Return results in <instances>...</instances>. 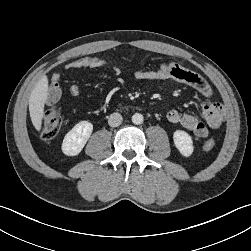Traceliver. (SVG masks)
<instances>
[{
	"mask_svg": "<svg viewBox=\"0 0 251 251\" xmlns=\"http://www.w3.org/2000/svg\"><path fill=\"white\" fill-rule=\"evenodd\" d=\"M48 94V78L44 75L35 85L29 98V112L33 126L37 131L41 130L44 117V105Z\"/></svg>",
	"mask_w": 251,
	"mask_h": 251,
	"instance_id": "liver-1",
	"label": "liver"
}]
</instances>
